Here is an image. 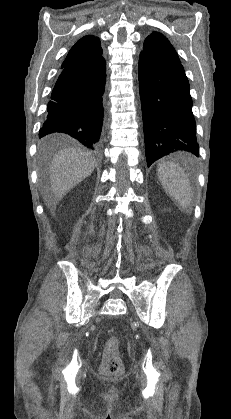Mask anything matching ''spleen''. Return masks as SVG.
<instances>
[{
    "label": "spleen",
    "mask_w": 231,
    "mask_h": 419,
    "mask_svg": "<svg viewBox=\"0 0 231 419\" xmlns=\"http://www.w3.org/2000/svg\"><path fill=\"white\" fill-rule=\"evenodd\" d=\"M158 178L169 197L187 210L191 204L190 181L184 170L171 162H162L157 168Z\"/></svg>",
    "instance_id": "obj_1"
}]
</instances>
